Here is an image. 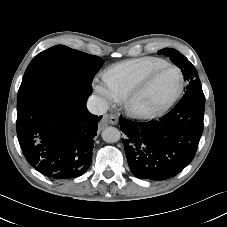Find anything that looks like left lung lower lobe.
I'll return each instance as SVG.
<instances>
[{"label": "left lung lower lobe", "mask_w": 227, "mask_h": 227, "mask_svg": "<svg viewBox=\"0 0 227 227\" xmlns=\"http://www.w3.org/2000/svg\"><path fill=\"white\" fill-rule=\"evenodd\" d=\"M205 104L178 103L158 121L132 122L120 118L131 172L140 179L165 180L194 158L203 132Z\"/></svg>", "instance_id": "left-lung-lower-lobe-1"}]
</instances>
